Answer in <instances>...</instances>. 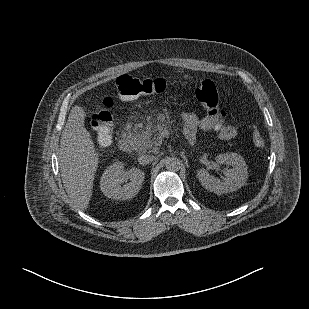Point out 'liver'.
Returning a JSON list of instances; mask_svg holds the SVG:
<instances>
[{"mask_svg": "<svg viewBox=\"0 0 309 309\" xmlns=\"http://www.w3.org/2000/svg\"><path fill=\"white\" fill-rule=\"evenodd\" d=\"M85 111L72 107L60 139V170L64 188L81 210L88 208L98 166L90 132L85 128Z\"/></svg>", "mask_w": 309, "mask_h": 309, "instance_id": "obj_1", "label": "liver"}]
</instances>
